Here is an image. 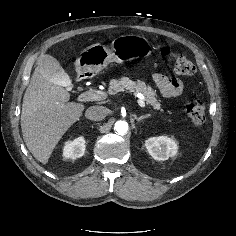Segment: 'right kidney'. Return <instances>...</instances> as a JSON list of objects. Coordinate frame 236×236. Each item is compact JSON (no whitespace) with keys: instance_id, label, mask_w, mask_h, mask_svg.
I'll list each match as a JSON object with an SVG mask.
<instances>
[{"instance_id":"right-kidney-1","label":"right kidney","mask_w":236,"mask_h":236,"mask_svg":"<svg viewBox=\"0 0 236 236\" xmlns=\"http://www.w3.org/2000/svg\"><path fill=\"white\" fill-rule=\"evenodd\" d=\"M85 153V139L84 137H78L73 141L65 143L63 148V157L65 159L80 158Z\"/></svg>"}]
</instances>
